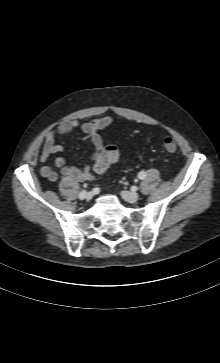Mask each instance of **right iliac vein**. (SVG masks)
Instances as JSON below:
<instances>
[{
  "label": "right iliac vein",
  "instance_id": "obj_1",
  "mask_svg": "<svg viewBox=\"0 0 220 363\" xmlns=\"http://www.w3.org/2000/svg\"><path fill=\"white\" fill-rule=\"evenodd\" d=\"M84 199H85L86 201H90V200L92 199V193H90V192L86 193V195H85Z\"/></svg>",
  "mask_w": 220,
  "mask_h": 363
}]
</instances>
